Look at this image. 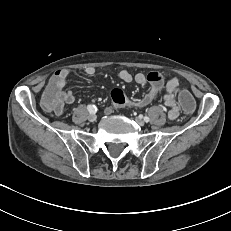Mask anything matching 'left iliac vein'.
Segmentation results:
<instances>
[{"mask_svg": "<svg viewBox=\"0 0 231 231\" xmlns=\"http://www.w3.org/2000/svg\"><path fill=\"white\" fill-rule=\"evenodd\" d=\"M135 121L139 126H144L145 122L141 117H136Z\"/></svg>", "mask_w": 231, "mask_h": 231, "instance_id": "1", "label": "left iliac vein"}]
</instances>
